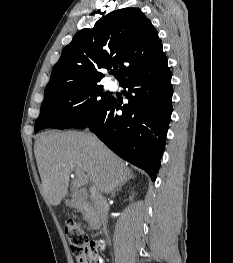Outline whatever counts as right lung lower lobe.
<instances>
[{
  "label": "right lung lower lobe",
  "mask_w": 233,
  "mask_h": 263,
  "mask_svg": "<svg viewBox=\"0 0 233 263\" xmlns=\"http://www.w3.org/2000/svg\"><path fill=\"white\" fill-rule=\"evenodd\" d=\"M129 103L115 98L77 124L88 127L121 158L144 169L154 181L160 166L172 113L171 72L162 70L123 80ZM121 110L122 114H117Z\"/></svg>",
  "instance_id": "obj_1"
}]
</instances>
